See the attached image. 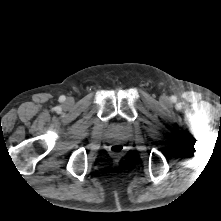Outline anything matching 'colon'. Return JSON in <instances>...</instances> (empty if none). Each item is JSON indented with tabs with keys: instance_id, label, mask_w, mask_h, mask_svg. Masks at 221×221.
<instances>
[{
	"instance_id": "obj_1",
	"label": "colon",
	"mask_w": 221,
	"mask_h": 221,
	"mask_svg": "<svg viewBox=\"0 0 221 221\" xmlns=\"http://www.w3.org/2000/svg\"><path fill=\"white\" fill-rule=\"evenodd\" d=\"M124 150V147L122 144H119V143H116V144H113L111 147H110V151L113 153V154H120L122 153Z\"/></svg>"
}]
</instances>
